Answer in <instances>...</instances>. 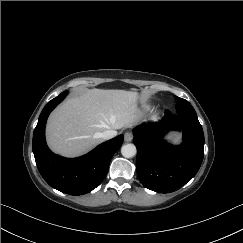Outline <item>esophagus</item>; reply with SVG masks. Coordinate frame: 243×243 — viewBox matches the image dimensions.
<instances>
[{
	"label": "esophagus",
	"instance_id": "esophagus-1",
	"mask_svg": "<svg viewBox=\"0 0 243 243\" xmlns=\"http://www.w3.org/2000/svg\"><path fill=\"white\" fill-rule=\"evenodd\" d=\"M133 139V134L131 132H126L124 134V141L125 142H130Z\"/></svg>",
	"mask_w": 243,
	"mask_h": 243
}]
</instances>
